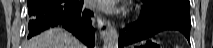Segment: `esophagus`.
Segmentation results:
<instances>
[{"label": "esophagus", "mask_w": 213, "mask_h": 48, "mask_svg": "<svg viewBox=\"0 0 213 48\" xmlns=\"http://www.w3.org/2000/svg\"><path fill=\"white\" fill-rule=\"evenodd\" d=\"M97 23L100 36L101 38H103L106 35L107 30L109 28V22L106 19L99 16L97 19Z\"/></svg>", "instance_id": "1"}]
</instances>
